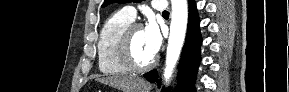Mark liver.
<instances>
[{"label": "liver", "mask_w": 289, "mask_h": 92, "mask_svg": "<svg viewBox=\"0 0 289 92\" xmlns=\"http://www.w3.org/2000/svg\"><path fill=\"white\" fill-rule=\"evenodd\" d=\"M96 81L117 88L122 92H144L151 89L145 80L137 77H102Z\"/></svg>", "instance_id": "liver-1"}]
</instances>
